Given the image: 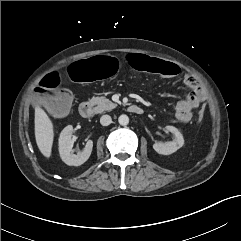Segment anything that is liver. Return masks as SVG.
<instances>
[{
	"label": "liver",
	"mask_w": 241,
	"mask_h": 241,
	"mask_svg": "<svg viewBox=\"0 0 241 241\" xmlns=\"http://www.w3.org/2000/svg\"><path fill=\"white\" fill-rule=\"evenodd\" d=\"M34 122L37 146L44 157L50 158L54 139L53 124L46 112L39 106L35 108Z\"/></svg>",
	"instance_id": "6515ba94"
}]
</instances>
